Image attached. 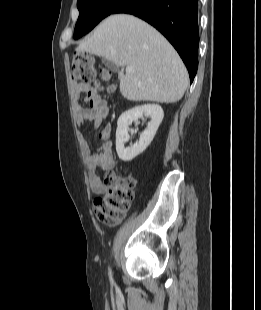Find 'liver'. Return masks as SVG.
<instances>
[{
	"instance_id": "6515ba94",
	"label": "liver",
	"mask_w": 261,
	"mask_h": 310,
	"mask_svg": "<svg viewBox=\"0 0 261 310\" xmlns=\"http://www.w3.org/2000/svg\"><path fill=\"white\" fill-rule=\"evenodd\" d=\"M104 57L114 64L131 66L119 72L120 92L130 101L174 103L188 86V72L172 45L152 26L127 14L107 17L76 48Z\"/></svg>"
}]
</instances>
